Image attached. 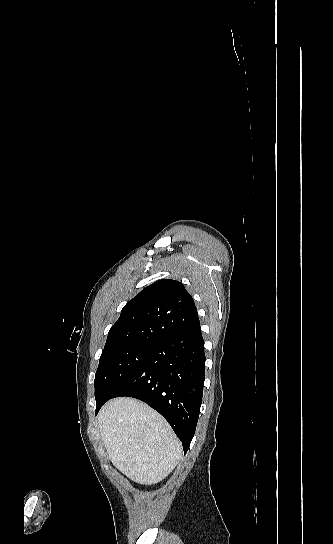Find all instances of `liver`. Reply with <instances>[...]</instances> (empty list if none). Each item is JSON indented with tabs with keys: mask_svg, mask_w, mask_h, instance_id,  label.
<instances>
[{
	"mask_svg": "<svg viewBox=\"0 0 333 544\" xmlns=\"http://www.w3.org/2000/svg\"><path fill=\"white\" fill-rule=\"evenodd\" d=\"M97 419L113 465L136 483L162 481L182 458V445L167 421L143 402L113 399Z\"/></svg>",
	"mask_w": 333,
	"mask_h": 544,
	"instance_id": "6515ba94",
	"label": "liver"
}]
</instances>
